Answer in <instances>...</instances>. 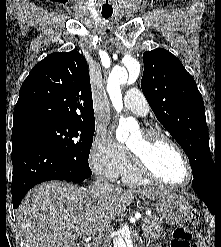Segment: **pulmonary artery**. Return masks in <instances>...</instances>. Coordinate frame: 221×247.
Returning a JSON list of instances; mask_svg holds the SVG:
<instances>
[{
    "instance_id": "pulmonary-artery-1",
    "label": "pulmonary artery",
    "mask_w": 221,
    "mask_h": 247,
    "mask_svg": "<svg viewBox=\"0 0 221 247\" xmlns=\"http://www.w3.org/2000/svg\"><path fill=\"white\" fill-rule=\"evenodd\" d=\"M123 107L139 116L147 115L150 110L146 98L137 88H131L126 92Z\"/></svg>"
}]
</instances>
